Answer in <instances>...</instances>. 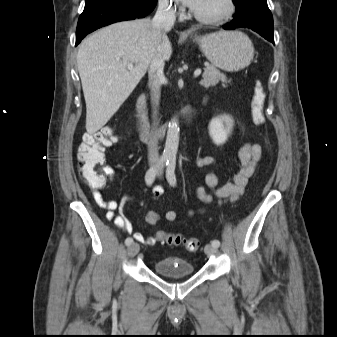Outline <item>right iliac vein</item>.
Segmentation results:
<instances>
[{
	"label": "right iliac vein",
	"instance_id": "63e3f726",
	"mask_svg": "<svg viewBox=\"0 0 337 337\" xmlns=\"http://www.w3.org/2000/svg\"><path fill=\"white\" fill-rule=\"evenodd\" d=\"M128 255L134 257L139 252V245L137 243H132L128 247Z\"/></svg>",
	"mask_w": 337,
	"mask_h": 337
}]
</instances>
